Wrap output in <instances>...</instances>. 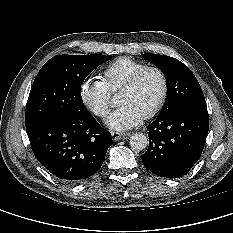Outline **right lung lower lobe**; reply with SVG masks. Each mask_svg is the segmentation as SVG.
<instances>
[{"label": "right lung lower lobe", "instance_id": "98d812e1", "mask_svg": "<svg viewBox=\"0 0 233 233\" xmlns=\"http://www.w3.org/2000/svg\"><path fill=\"white\" fill-rule=\"evenodd\" d=\"M34 155L55 177L80 182L99 170L112 137L88 110L26 128Z\"/></svg>", "mask_w": 233, "mask_h": 233}]
</instances>
